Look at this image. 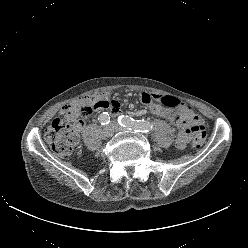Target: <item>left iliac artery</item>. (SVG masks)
I'll return each instance as SVG.
<instances>
[{
  "mask_svg": "<svg viewBox=\"0 0 248 248\" xmlns=\"http://www.w3.org/2000/svg\"><path fill=\"white\" fill-rule=\"evenodd\" d=\"M118 122L121 126L137 132L146 133L153 128V125L149 121L134 120L133 118L124 115L118 117Z\"/></svg>",
  "mask_w": 248,
  "mask_h": 248,
  "instance_id": "obj_1",
  "label": "left iliac artery"
}]
</instances>
